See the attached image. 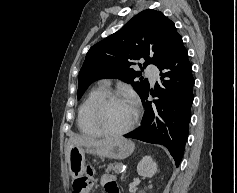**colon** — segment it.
<instances>
[{"label": "colon", "mask_w": 237, "mask_h": 193, "mask_svg": "<svg viewBox=\"0 0 237 193\" xmlns=\"http://www.w3.org/2000/svg\"><path fill=\"white\" fill-rule=\"evenodd\" d=\"M93 186L92 168H87V173L77 177L72 185V193H89Z\"/></svg>", "instance_id": "5ec220e1"}]
</instances>
